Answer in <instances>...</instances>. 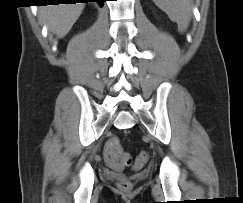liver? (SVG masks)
Returning a JSON list of instances; mask_svg holds the SVG:
<instances>
[{
  "label": "liver",
  "instance_id": "1",
  "mask_svg": "<svg viewBox=\"0 0 243 203\" xmlns=\"http://www.w3.org/2000/svg\"><path fill=\"white\" fill-rule=\"evenodd\" d=\"M83 9V3L42 6L39 9V19L62 38L70 31Z\"/></svg>",
  "mask_w": 243,
  "mask_h": 203
}]
</instances>
